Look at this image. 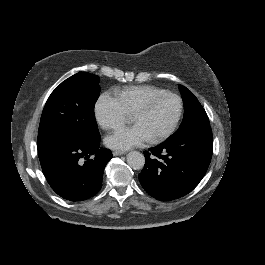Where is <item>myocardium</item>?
I'll use <instances>...</instances> for the list:
<instances>
[{"mask_svg":"<svg viewBox=\"0 0 265 265\" xmlns=\"http://www.w3.org/2000/svg\"><path fill=\"white\" fill-rule=\"evenodd\" d=\"M161 96H168V97H172L174 99L177 100L178 102V110H177V114L173 120V122L167 127L165 128L162 132H160L158 135L150 138L149 142L151 144H156L160 141H162L163 139L167 138L177 127V125L179 124L182 114H183V99L181 98V96H179L176 93H173L171 91L168 90H159L153 94H151L150 96H148L141 104L140 106L137 108V110L135 111L134 114H140L144 111H146L149 106L159 97Z\"/></svg>","mask_w":265,"mask_h":265,"instance_id":"1","label":"myocardium"}]
</instances>
